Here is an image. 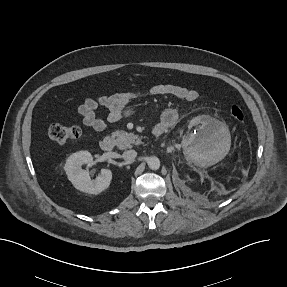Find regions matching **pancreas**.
I'll list each match as a JSON object with an SVG mask.
<instances>
[{
	"mask_svg": "<svg viewBox=\"0 0 287 287\" xmlns=\"http://www.w3.org/2000/svg\"><path fill=\"white\" fill-rule=\"evenodd\" d=\"M112 138L115 139L116 145L120 150L131 148L132 144H139L140 142L137 135L128 133L124 130H117L113 132Z\"/></svg>",
	"mask_w": 287,
	"mask_h": 287,
	"instance_id": "1",
	"label": "pancreas"
}]
</instances>
